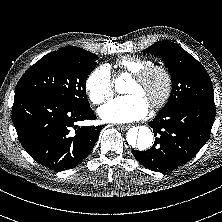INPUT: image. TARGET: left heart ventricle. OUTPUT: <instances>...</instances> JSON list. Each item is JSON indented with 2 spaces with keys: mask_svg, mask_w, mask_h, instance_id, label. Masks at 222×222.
<instances>
[{
  "mask_svg": "<svg viewBox=\"0 0 222 222\" xmlns=\"http://www.w3.org/2000/svg\"><path fill=\"white\" fill-rule=\"evenodd\" d=\"M164 90V78L161 74L155 73L145 82H138L132 79L128 85L127 93L139 94L150 106L162 94Z\"/></svg>",
  "mask_w": 222,
  "mask_h": 222,
  "instance_id": "obj_1",
  "label": "left heart ventricle"
}]
</instances>
